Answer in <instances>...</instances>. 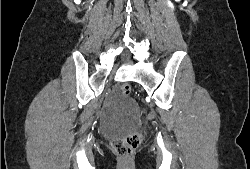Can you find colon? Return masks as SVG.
<instances>
[{
	"label": "colon",
	"instance_id": "5ec220e1",
	"mask_svg": "<svg viewBox=\"0 0 250 169\" xmlns=\"http://www.w3.org/2000/svg\"><path fill=\"white\" fill-rule=\"evenodd\" d=\"M121 90L124 94L132 93V88L129 85H122ZM143 139L144 134L142 130L131 135H124V137L111 138L109 142L111 150H114L116 155L120 157L117 169H135L136 166L133 164L135 150H137L140 143H143Z\"/></svg>",
	"mask_w": 250,
	"mask_h": 169
}]
</instances>
